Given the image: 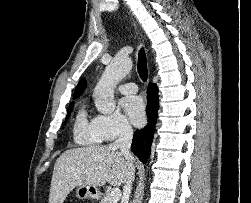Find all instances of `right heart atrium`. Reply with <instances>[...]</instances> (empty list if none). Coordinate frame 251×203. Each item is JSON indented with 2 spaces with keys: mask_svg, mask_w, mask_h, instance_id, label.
<instances>
[{
  "mask_svg": "<svg viewBox=\"0 0 251 203\" xmlns=\"http://www.w3.org/2000/svg\"><path fill=\"white\" fill-rule=\"evenodd\" d=\"M92 125L101 139L111 142L119 137H124L132 132L128 120L120 113L111 115H97L92 120Z\"/></svg>",
  "mask_w": 251,
  "mask_h": 203,
  "instance_id": "right-heart-atrium-1",
  "label": "right heart atrium"
}]
</instances>
